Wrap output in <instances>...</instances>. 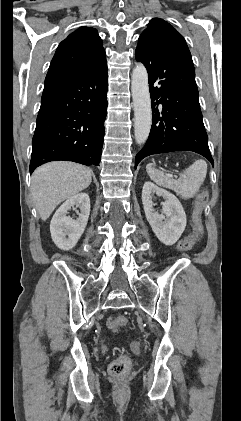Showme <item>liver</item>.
I'll use <instances>...</instances> for the list:
<instances>
[{"instance_id":"6515ba94","label":"liver","mask_w":241,"mask_h":421,"mask_svg":"<svg viewBox=\"0 0 241 421\" xmlns=\"http://www.w3.org/2000/svg\"><path fill=\"white\" fill-rule=\"evenodd\" d=\"M92 181V171L73 162H50L32 174L31 195L43 221L64 200L87 188Z\"/></svg>"}]
</instances>
